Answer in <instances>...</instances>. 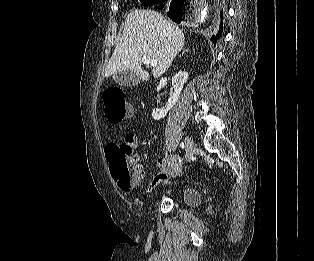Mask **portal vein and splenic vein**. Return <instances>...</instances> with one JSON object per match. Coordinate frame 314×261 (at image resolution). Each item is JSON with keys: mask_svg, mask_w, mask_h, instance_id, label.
Wrapping results in <instances>:
<instances>
[{"mask_svg": "<svg viewBox=\"0 0 314 261\" xmlns=\"http://www.w3.org/2000/svg\"><path fill=\"white\" fill-rule=\"evenodd\" d=\"M142 62L145 64V65H150L151 67H155L157 62L154 58H150L148 56H144L142 58Z\"/></svg>", "mask_w": 314, "mask_h": 261, "instance_id": "obj_1", "label": "portal vein and splenic vein"}]
</instances>
